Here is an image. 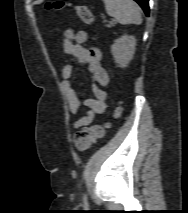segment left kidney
Here are the masks:
<instances>
[{
  "label": "left kidney",
  "mask_w": 188,
  "mask_h": 213,
  "mask_svg": "<svg viewBox=\"0 0 188 213\" xmlns=\"http://www.w3.org/2000/svg\"><path fill=\"white\" fill-rule=\"evenodd\" d=\"M136 49V39L134 36L124 35L114 41L111 52L115 63L119 67L125 68L133 59Z\"/></svg>",
  "instance_id": "left-kidney-1"
}]
</instances>
